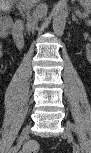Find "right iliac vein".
I'll use <instances>...</instances> for the list:
<instances>
[{"instance_id":"obj_1","label":"right iliac vein","mask_w":91,"mask_h":153,"mask_svg":"<svg viewBox=\"0 0 91 153\" xmlns=\"http://www.w3.org/2000/svg\"><path fill=\"white\" fill-rule=\"evenodd\" d=\"M30 133V125H27L21 132L18 142L16 144V146L13 148V153H17L18 150L20 149L23 141L28 137Z\"/></svg>"}]
</instances>
